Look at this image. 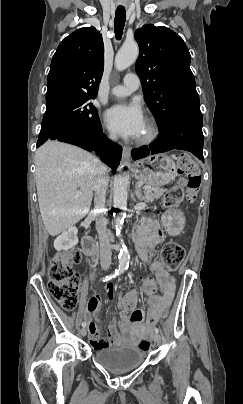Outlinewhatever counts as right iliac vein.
I'll return each instance as SVG.
<instances>
[{
  "instance_id": "obj_1",
  "label": "right iliac vein",
  "mask_w": 243,
  "mask_h": 404,
  "mask_svg": "<svg viewBox=\"0 0 243 404\" xmlns=\"http://www.w3.org/2000/svg\"><path fill=\"white\" fill-rule=\"evenodd\" d=\"M80 332H81L82 336H85L87 334V331H86V329L84 327L81 329Z\"/></svg>"
}]
</instances>
